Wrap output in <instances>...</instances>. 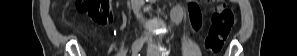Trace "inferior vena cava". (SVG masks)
Masks as SVG:
<instances>
[{"mask_svg":"<svg viewBox=\"0 0 297 56\" xmlns=\"http://www.w3.org/2000/svg\"><path fill=\"white\" fill-rule=\"evenodd\" d=\"M143 4H144V0H136V5L134 7V10L139 20L142 18V15L140 13V8L143 6Z\"/></svg>","mask_w":297,"mask_h":56,"instance_id":"1","label":"inferior vena cava"}]
</instances>
